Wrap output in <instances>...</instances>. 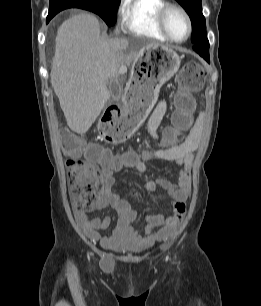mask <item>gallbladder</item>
<instances>
[{"label": "gallbladder", "instance_id": "gallbladder-1", "mask_svg": "<svg viewBox=\"0 0 261 306\" xmlns=\"http://www.w3.org/2000/svg\"><path fill=\"white\" fill-rule=\"evenodd\" d=\"M107 86L109 88L110 95H111V98L108 100V102L112 103L118 100L121 96V91H122V88L119 85V83L114 80H109L107 82Z\"/></svg>", "mask_w": 261, "mask_h": 306}]
</instances>
